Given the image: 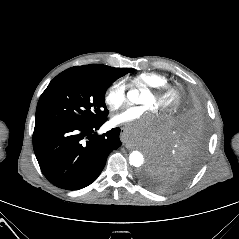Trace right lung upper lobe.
Wrapping results in <instances>:
<instances>
[{"label": "right lung upper lobe", "instance_id": "1", "mask_svg": "<svg viewBox=\"0 0 239 239\" xmlns=\"http://www.w3.org/2000/svg\"><path fill=\"white\" fill-rule=\"evenodd\" d=\"M122 68H114L102 64H91L71 67L63 72L66 73H83V74H108L119 71Z\"/></svg>", "mask_w": 239, "mask_h": 239}]
</instances>
